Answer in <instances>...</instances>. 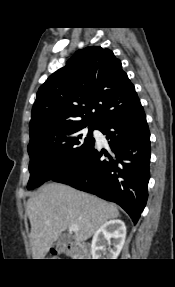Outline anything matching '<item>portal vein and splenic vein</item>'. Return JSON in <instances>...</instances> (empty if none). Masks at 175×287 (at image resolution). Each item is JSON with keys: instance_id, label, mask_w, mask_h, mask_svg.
Masks as SVG:
<instances>
[{"instance_id": "18ae733b", "label": "portal vein and splenic vein", "mask_w": 175, "mask_h": 287, "mask_svg": "<svg viewBox=\"0 0 175 287\" xmlns=\"http://www.w3.org/2000/svg\"><path fill=\"white\" fill-rule=\"evenodd\" d=\"M70 230H72V231H77V230H78V226H77L76 224H72V225L70 226Z\"/></svg>"}]
</instances>
